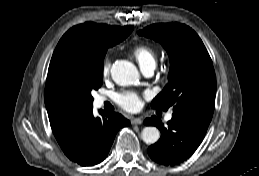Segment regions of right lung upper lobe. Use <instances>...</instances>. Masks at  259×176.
<instances>
[{"label": "right lung upper lobe", "instance_id": "obj_1", "mask_svg": "<svg viewBox=\"0 0 259 176\" xmlns=\"http://www.w3.org/2000/svg\"><path fill=\"white\" fill-rule=\"evenodd\" d=\"M133 30L132 26L118 27L86 22L72 27L58 42L53 53L45 86V105L52 130L67 120L84 113L92 107L79 82L68 70L64 54L67 45L75 37H83L89 43L124 40Z\"/></svg>", "mask_w": 259, "mask_h": 176}]
</instances>
